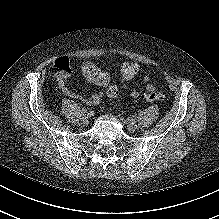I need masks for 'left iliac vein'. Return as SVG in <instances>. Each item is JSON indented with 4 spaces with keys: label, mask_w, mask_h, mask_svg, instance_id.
<instances>
[{
    "label": "left iliac vein",
    "mask_w": 219,
    "mask_h": 219,
    "mask_svg": "<svg viewBox=\"0 0 219 219\" xmlns=\"http://www.w3.org/2000/svg\"><path fill=\"white\" fill-rule=\"evenodd\" d=\"M126 124L129 131H135L137 129V124L131 120H127Z\"/></svg>",
    "instance_id": "obj_1"
}]
</instances>
